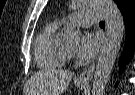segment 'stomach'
Returning a JSON list of instances; mask_svg holds the SVG:
<instances>
[{
    "label": "stomach",
    "instance_id": "1",
    "mask_svg": "<svg viewBox=\"0 0 135 95\" xmlns=\"http://www.w3.org/2000/svg\"><path fill=\"white\" fill-rule=\"evenodd\" d=\"M86 83H78L77 84V87H79V88H85L86 87Z\"/></svg>",
    "mask_w": 135,
    "mask_h": 95
}]
</instances>
